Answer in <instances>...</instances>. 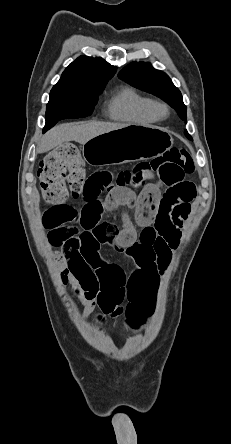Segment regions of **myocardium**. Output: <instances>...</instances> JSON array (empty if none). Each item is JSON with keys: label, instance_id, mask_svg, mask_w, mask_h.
Returning a JSON list of instances; mask_svg holds the SVG:
<instances>
[{"label": "myocardium", "instance_id": "myocardium-1", "mask_svg": "<svg viewBox=\"0 0 231 444\" xmlns=\"http://www.w3.org/2000/svg\"><path fill=\"white\" fill-rule=\"evenodd\" d=\"M152 111L159 119H164L169 116L170 107L165 102L154 101L152 104Z\"/></svg>", "mask_w": 231, "mask_h": 444}]
</instances>
